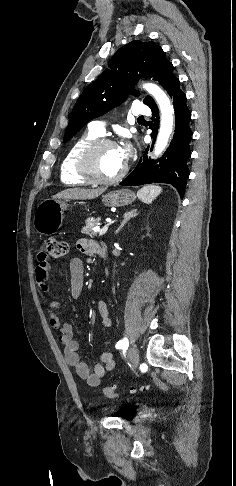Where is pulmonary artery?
Instances as JSON below:
<instances>
[{
	"mask_svg": "<svg viewBox=\"0 0 236 486\" xmlns=\"http://www.w3.org/2000/svg\"><path fill=\"white\" fill-rule=\"evenodd\" d=\"M132 113L135 116H144L150 114V109L143 103H136L132 108ZM89 130L103 135L105 133V123L100 120H94L89 123Z\"/></svg>",
	"mask_w": 236,
	"mask_h": 486,
	"instance_id": "e3ab8cb5",
	"label": "pulmonary artery"
}]
</instances>
